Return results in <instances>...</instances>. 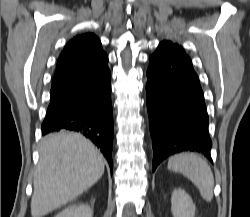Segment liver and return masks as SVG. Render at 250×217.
Instances as JSON below:
<instances>
[{"instance_id": "obj_1", "label": "liver", "mask_w": 250, "mask_h": 217, "mask_svg": "<svg viewBox=\"0 0 250 217\" xmlns=\"http://www.w3.org/2000/svg\"><path fill=\"white\" fill-rule=\"evenodd\" d=\"M104 169L102 155L82 135L45 136L33 181L32 216L42 217L75 199L102 177Z\"/></svg>"}]
</instances>
